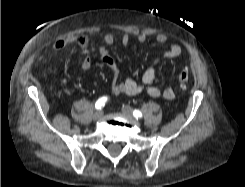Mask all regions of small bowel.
<instances>
[{
  "label": "small bowel",
  "mask_w": 245,
  "mask_h": 187,
  "mask_svg": "<svg viewBox=\"0 0 245 187\" xmlns=\"http://www.w3.org/2000/svg\"><path fill=\"white\" fill-rule=\"evenodd\" d=\"M136 39L139 43H145L148 40V36L145 33H139L136 35ZM156 42L159 44H165L167 42V36L163 33H159L155 37ZM75 39L70 40H57L53 46L54 52L62 51L68 42H74ZM115 42V37L112 34H106L102 39V47L100 49V56L105 66L110 70L111 80V92L113 96L125 95H138L142 92H146L149 96L162 100H172L174 98V91L171 88L160 89L154 85L156 77L157 66L164 61L172 60L179 57L182 53V48L178 44H171L165 51L157 56L151 64L147 67L143 73L141 82H137L131 78H127L123 81L119 80V69L109 53L108 46ZM122 45L127 46L130 43V35L123 34L120 37ZM91 66V60L88 56H83L78 62L80 70H87Z\"/></svg>",
  "instance_id": "small-bowel-1"
}]
</instances>
